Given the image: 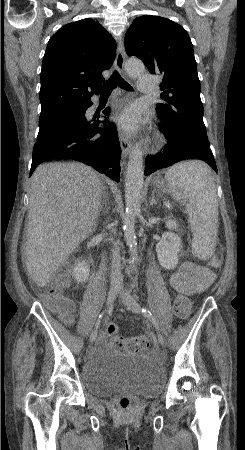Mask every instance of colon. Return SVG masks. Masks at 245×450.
I'll return each instance as SVG.
<instances>
[{
	"instance_id": "colon-1",
	"label": "colon",
	"mask_w": 245,
	"mask_h": 450,
	"mask_svg": "<svg viewBox=\"0 0 245 450\" xmlns=\"http://www.w3.org/2000/svg\"><path fill=\"white\" fill-rule=\"evenodd\" d=\"M213 268H219L221 265V259L214 256L209 261ZM71 276L68 274H62L55 277L53 280L47 282L45 286L41 288V293L44 296V302L48 308L57 313L60 318L66 322L70 323L72 319V311L74 308L73 302L65 297L62 293L65 289ZM191 311V301L190 299L179 294L174 300V313L180 319H186ZM117 326L110 324L107 326L106 332L110 336V344L113 348L124 351L137 352L145 349L149 346V339L146 336H137L132 339H127L124 337L114 335L117 331ZM130 405V400L128 397H122L119 401V406L121 409H127Z\"/></svg>"
}]
</instances>
